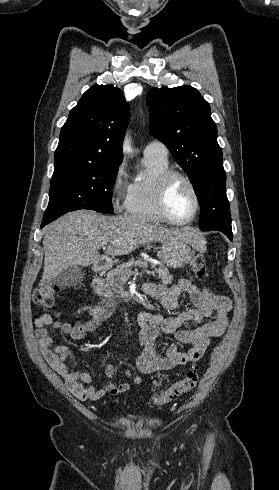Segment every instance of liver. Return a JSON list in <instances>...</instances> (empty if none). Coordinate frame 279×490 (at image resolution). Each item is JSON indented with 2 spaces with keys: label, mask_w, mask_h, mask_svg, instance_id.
I'll list each match as a JSON object with an SVG mask.
<instances>
[{
  "label": "liver",
  "mask_w": 279,
  "mask_h": 490,
  "mask_svg": "<svg viewBox=\"0 0 279 490\" xmlns=\"http://www.w3.org/2000/svg\"><path fill=\"white\" fill-rule=\"evenodd\" d=\"M181 236L201 252L202 238L191 228H161L142 218L100 216L93 210H78L61 216L46 228L43 240L44 270L39 286L53 280L68 268L97 266L102 260L99 250L109 242L105 256H125L149 242H169Z\"/></svg>",
  "instance_id": "6515ba94"
}]
</instances>
